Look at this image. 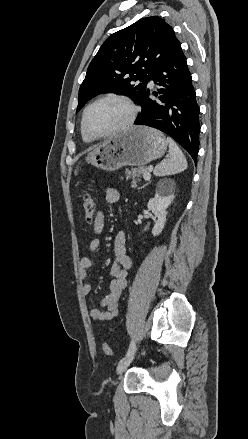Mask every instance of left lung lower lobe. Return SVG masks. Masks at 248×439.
Returning <instances> with one entry per match:
<instances>
[{"mask_svg":"<svg viewBox=\"0 0 248 439\" xmlns=\"http://www.w3.org/2000/svg\"><path fill=\"white\" fill-rule=\"evenodd\" d=\"M150 80L160 86L149 97L147 88L141 101L142 111L137 125H146L163 131L176 140L197 162L199 149V106L192 85L191 73L181 45L177 41L166 58L156 68Z\"/></svg>","mask_w":248,"mask_h":439,"instance_id":"0a47b994","label":"left lung lower lobe"}]
</instances>
